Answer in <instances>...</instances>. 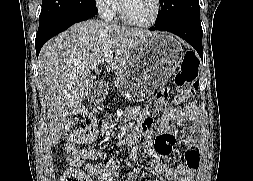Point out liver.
Returning <instances> with one entry per match:
<instances>
[{"mask_svg":"<svg viewBox=\"0 0 253 181\" xmlns=\"http://www.w3.org/2000/svg\"><path fill=\"white\" fill-rule=\"evenodd\" d=\"M139 28L88 20L76 23L48 41L41 49L37 66L41 91L47 103L50 145L58 144L68 117L75 113L91 91L88 74L114 53L108 71H119L131 51L143 39L153 36Z\"/></svg>","mask_w":253,"mask_h":181,"instance_id":"liver-1","label":"liver"}]
</instances>
